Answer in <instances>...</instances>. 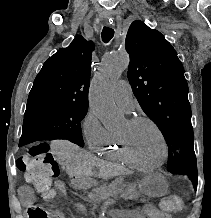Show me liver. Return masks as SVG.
I'll return each instance as SVG.
<instances>
[{"label": "liver", "instance_id": "liver-1", "mask_svg": "<svg viewBox=\"0 0 211 218\" xmlns=\"http://www.w3.org/2000/svg\"><path fill=\"white\" fill-rule=\"evenodd\" d=\"M51 154L59 158L61 166H65L70 178L73 176H91L93 168H98L100 176H119L123 174L119 166H109L94 154L83 152L75 144L67 140L51 142Z\"/></svg>", "mask_w": 211, "mask_h": 218}]
</instances>
